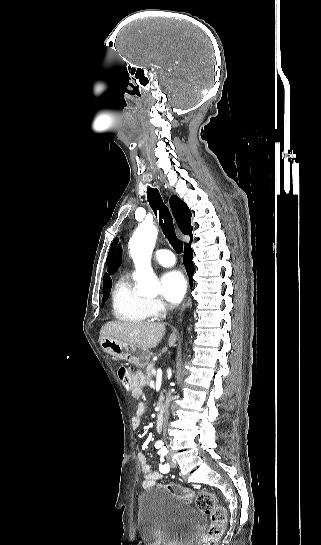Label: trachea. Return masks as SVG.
Returning <instances> with one entry per match:
<instances>
[{
    "label": "trachea",
    "instance_id": "1",
    "mask_svg": "<svg viewBox=\"0 0 321 545\" xmlns=\"http://www.w3.org/2000/svg\"><path fill=\"white\" fill-rule=\"evenodd\" d=\"M146 180L147 181L145 183V186L148 189L147 198L149 204L155 215L159 217V224L163 230L165 237L169 240L175 252L180 254L183 251V242L179 240V238H177L176 236L173 218L170 214L168 207L163 202L159 191L157 189H154L156 186V179L154 176L150 175L147 177Z\"/></svg>",
    "mask_w": 321,
    "mask_h": 545
}]
</instances>
